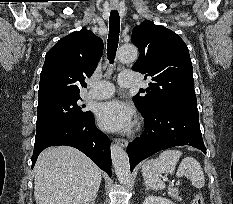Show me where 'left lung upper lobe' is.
Wrapping results in <instances>:
<instances>
[{
    "label": "left lung upper lobe",
    "mask_w": 233,
    "mask_h": 204,
    "mask_svg": "<svg viewBox=\"0 0 233 204\" xmlns=\"http://www.w3.org/2000/svg\"><path fill=\"white\" fill-rule=\"evenodd\" d=\"M140 52L132 69L150 79L145 95L134 96L136 107L150 112L160 106L197 109L192 62L184 41L173 31L146 20L132 32Z\"/></svg>",
    "instance_id": "left-lung-upper-lobe-1"
}]
</instances>
